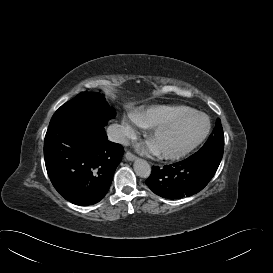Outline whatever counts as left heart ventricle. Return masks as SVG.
<instances>
[{
	"instance_id": "1",
	"label": "left heart ventricle",
	"mask_w": 273,
	"mask_h": 273,
	"mask_svg": "<svg viewBox=\"0 0 273 273\" xmlns=\"http://www.w3.org/2000/svg\"><path fill=\"white\" fill-rule=\"evenodd\" d=\"M205 127L206 120L203 117H192L178 126L157 133L153 137V144L161 151H179L192 144Z\"/></svg>"
}]
</instances>
